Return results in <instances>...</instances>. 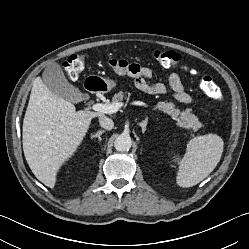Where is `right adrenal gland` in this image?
I'll use <instances>...</instances> for the list:
<instances>
[{"mask_svg":"<svg viewBox=\"0 0 249 249\" xmlns=\"http://www.w3.org/2000/svg\"><path fill=\"white\" fill-rule=\"evenodd\" d=\"M104 133V130H99L97 133L93 134L91 137L98 138L99 141H101V135Z\"/></svg>","mask_w":249,"mask_h":249,"instance_id":"1","label":"right adrenal gland"}]
</instances>
